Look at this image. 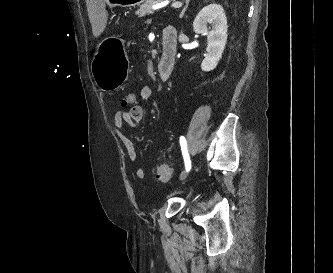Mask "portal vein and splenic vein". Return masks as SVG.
Segmentation results:
<instances>
[{"mask_svg": "<svg viewBox=\"0 0 333 273\" xmlns=\"http://www.w3.org/2000/svg\"><path fill=\"white\" fill-rule=\"evenodd\" d=\"M164 6H165V4H159V5L153 6V9L154 10L159 9V8L164 7ZM181 6H182V3H180V2H175V3L172 4V7H174V8H179Z\"/></svg>", "mask_w": 333, "mask_h": 273, "instance_id": "obj_1", "label": "portal vein and splenic vein"}]
</instances>
